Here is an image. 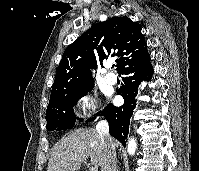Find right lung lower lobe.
Wrapping results in <instances>:
<instances>
[{"label":"right lung lower lobe","instance_id":"obj_1","mask_svg":"<svg viewBox=\"0 0 199 171\" xmlns=\"http://www.w3.org/2000/svg\"><path fill=\"white\" fill-rule=\"evenodd\" d=\"M120 74L125 75L123 78L124 85L117 89V93L123 97L125 103L120 107H115L110 103L101 115H104L109 123V133L125 146L130 118L136 106L135 97L138 86L142 81L151 80L153 75L149 54L142 60L122 69ZM92 120L93 118L88 119L86 122Z\"/></svg>","mask_w":199,"mask_h":171}]
</instances>
